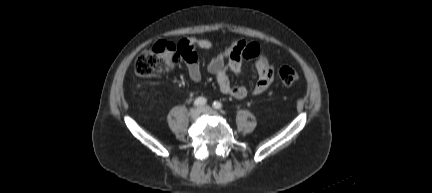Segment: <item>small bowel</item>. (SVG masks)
<instances>
[{
    "label": "small bowel",
    "mask_w": 432,
    "mask_h": 193,
    "mask_svg": "<svg viewBox=\"0 0 432 193\" xmlns=\"http://www.w3.org/2000/svg\"><path fill=\"white\" fill-rule=\"evenodd\" d=\"M212 48L213 43L210 40L198 37H189L179 42L178 50L185 61L189 79L193 83L200 82L202 78L196 50H211ZM225 58H227V62H225ZM243 60L252 61L258 74L257 82L251 94L254 96L263 94L271 86L275 76L272 63L258 43L234 42L207 63L208 71L216 77L219 90L236 99L246 97L248 90L242 85H232L228 73L232 72L239 75L242 71Z\"/></svg>",
    "instance_id": "obj_1"
}]
</instances>
